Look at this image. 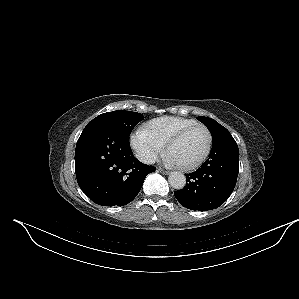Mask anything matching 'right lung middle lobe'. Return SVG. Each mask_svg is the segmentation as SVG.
Wrapping results in <instances>:
<instances>
[{"label": "right lung middle lobe", "mask_w": 299, "mask_h": 299, "mask_svg": "<svg viewBox=\"0 0 299 299\" xmlns=\"http://www.w3.org/2000/svg\"><path fill=\"white\" fill-rule=\"evenodd\" d=\"M144 116L140 113L117 110L99 115L89 122L91 124H102L108 126L126 138H129L133 128L143 120Z\"/></svg>", "instance_id": "obj_1"}]
</instances>
